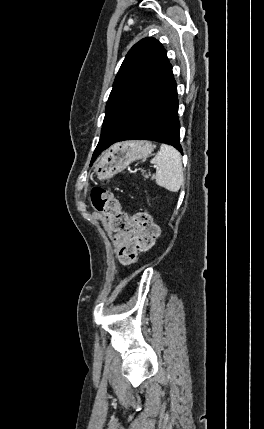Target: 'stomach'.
<instances>
[{
    "label": "stomach",
    "mask_w": 264,
    "mask_h": 429,
    "mask_svg": "<svg viewBox=\"0 0 264 429\" xmlns=\"http://www.w3.org/2000/svg\"><path fill=\"white\" fill-rule=\"evenodd\" d=\"M154 148L151 142L145 140L117 143L97 161L95 172L101 180L112 178L131 162L150 156Z\"/></svg>",
    "instance_id": "1"
}]
</instances>
